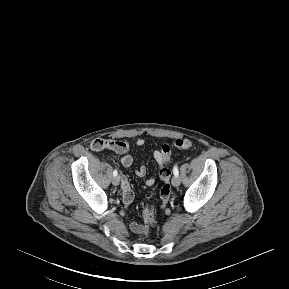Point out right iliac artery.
I'll return each mask as SVG.
<instances>
[{
    "mask_svg": "<svg viewBox=\"0 0 289 289\" xmlns=\"http://www.w3.org/2000/svg\"><path fill=\"white\" fill-rule=\"evenodd\" d=\"M117 174H118L117 170H114L113 171V176H117Z\"/></svg>",
    "mask_w": 289,
    "mask_h": 289,
    "instance_id": "right-iliac-artery-1",
    "label": "right iliac artery"
}]
</instances>
